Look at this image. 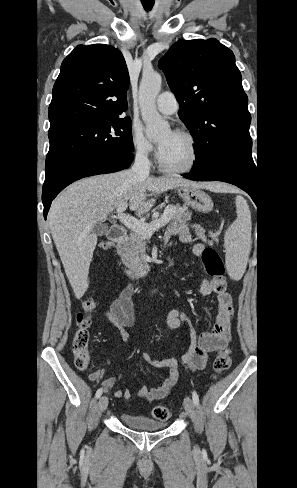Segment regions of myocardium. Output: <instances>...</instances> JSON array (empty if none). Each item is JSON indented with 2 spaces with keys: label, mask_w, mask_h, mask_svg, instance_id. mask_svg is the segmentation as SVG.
<instances>
[{
  "label": "myocardium",
  "mask_w": 297,
  "mask_h": 488,
  "mask_svg": "<svg viewBox=\"0 0 297 488\" xmlns=\"http://www.w3.org/2000/svg\"><path fill=\"white\" fill-rule=\"evenodd\" d=\"M176 135H179L186 139L191 147L192 150V158L190 162L181 168H175V167H170L167 166L161 159L159 151L157 152L156 160L159 168L166 172V173H172V174H184L191 172L198 164L199 162V157H200V151H199V146L196 141V139L187 131L184 130H176L173 132Z\"/></svg>",
  "instance_id": "myocardium-1"
}]
</instances>
